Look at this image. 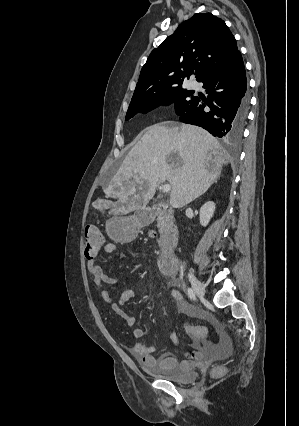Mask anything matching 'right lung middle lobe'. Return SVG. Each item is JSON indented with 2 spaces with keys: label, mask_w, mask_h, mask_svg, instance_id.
Returning <instances> with one entry per match:
<instances>
[{
  "label": "right lung middle lobe",
  "mask_w": 299,
  "mask_h": 426,
  "mask_svg": "<svg viewBox=\"0 0 299 426\" xmlns=\"http://www.w3.org/2000/svg\"><path fill=\"white\" fill-rule=\"evenodd\" d=\"M193 97V94L183 89L182 85L164 89L142 99L131 101L125 120H129L138 113H147L160 105L172 103H175V110L178 113L192 101Z\"/></svg>",
  "instance_id": "dd1d6c3e"
}]
</instances>
